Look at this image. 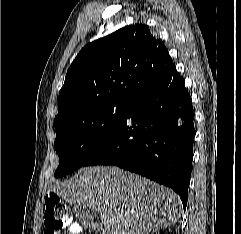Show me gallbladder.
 <instances>
[{
    "mask_svg": "<svg viewBox=\"0 0 241 234\" xmlns=\"http://www.w3.org/2000/svg\"><path fill=\"white\" fill-rule=\"evenodd\" d=\"M76 213L77 218L85 224V226L89 229L92 228V219L91 216L88 212L82 210L74 211Z\"/></svg>",
    "mask_w": 241,
    "mask_h": 234,
    "instance_id": "1",
    "label": "gallbladder"
}]
</instances>
